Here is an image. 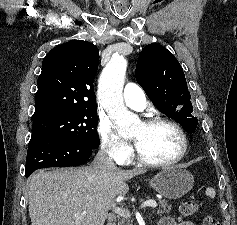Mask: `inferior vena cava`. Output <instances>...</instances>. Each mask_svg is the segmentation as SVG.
<instances>
[{
	"mask_svg": "<svg viewBox=\"0 0 237 225\" xmlns=\"http://www.w3.org/2000/svg\"><path fill=\"white\" fill-rule=\"evenodd\" d=\"M92 166L95 170H99L100 172H110L116 169V165L113 161V158L109 156V149L107 146L101 148L93 163Z\"/></svg>",
	"mask_w": 237,
	"mask_h": 225,
	"instance_id": "1",
	"label": "inferior vena cava"
}]
</instances>
